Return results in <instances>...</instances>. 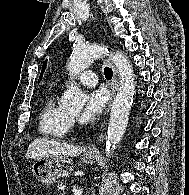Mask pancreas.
Returning a JSON list of instances; mask_svg holds the SVG:
<instances>
[{
	"mask_svg": "<svg viewBox=\"0 0 189 195\" xmlns=\"http://www.w3.org/2000/svg\"><path fill=\"white\" fill-rule=\"evenodd\" d=\"M66 187V184L63 183V182H58L57 184V188H58V191L61 193L62 192V195H64V188Z\"/></svg>",
	"mask_w": 189,
	"mask_h": 195,
	"instance_id": "cf45deb5",
	"label": "pancreas"
}]
</instances>
